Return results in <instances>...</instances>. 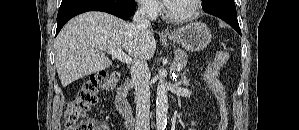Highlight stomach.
Instances as JSON below:
<instances>
[{
    "label": "stomach",
    "mask_w": 299,
    "mask_h": 130,
    "mask_svg": "<svg viewBox=\"0 0 299 130\" xmlns=\"http://www.w3.org/2000/svg\"><path fill=\"white\" fill-rule=\"evenodd\" d=\"M168 37L187 51L197 52L209 45L212 34L204 23L191 22L168 34Z\"/></svg>",
    "instance_id": "0dacf381"
}]
</instances>
